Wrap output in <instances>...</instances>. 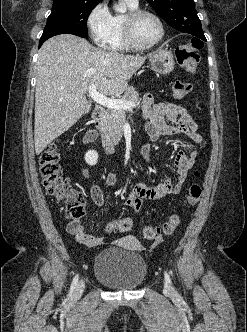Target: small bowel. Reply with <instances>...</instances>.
<instances>
[{
    "label": "small bowel",
    "instance_id": "obj_1",
    "mask_svg": "<svg viewBox=\"0 0 247 332\" xmlns=\"http://www.w3.org/2000/svg\"><path fill=\"white\" fill-rule=\"evenodd\" d=\"M142 110L144 117L147 119L146 131L151 141H157L164 136L183 135L195 143L202 142L203 138L202 135L198 133L197 123L184 107L166 101L155 103V95L147 93L142 101ZM95 139L96 133L89 131L84 141L89 143ZM196 154V151L191 152L189 155L182 150L178 151L174 160V167L177 173L175 182L170 179L157 185L139 182L132 188L130 193L122 199V205L138 212L141 209L144 199L159 200L170 195L179 194L187 179L188 172L194 164ZM141 155L146 161H150L149 144L142 146ZM83 175L85 177L89 176L87 169L83 170ZM106 183L110 187H115L117 184L116 175L109 172L106 175ZM90 194L95 205L101 206L103 204L104 197L99 186L93 185ZM67 230L78 242L88 247H96L103 243L101 237L86 233L79 220L71 221L67 226ZM158 241H160V239Z\"/></svg>",
    "mask_w": 247,
    "mask_h": 332
}]
</instances>
